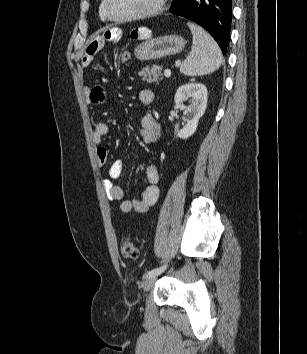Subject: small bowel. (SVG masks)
I'll use <instances>...</instances> for the list:
<instances>
[{
    "mask_svg": "<svg viewBox=\"0 0 307 354\" xmlns=\"http://www.w3.org/2000/svg\"><path fill=\"white\" fill-rule=\"evenodd\" d=\"M122 37V31L119 28L106 30L101 38L92 40L82 56L81 65L89 67L94 61L95 54L103 47L104 42H115ZM85 93L88 101L99 103L104 98V91L100 87L92 88L85 86ZM139 101L142 105L148 106L154 101V93L151 90H143L139 94ZM108 125L99 122L94 126L93 138L96 144L97 159L100 165L107 162V150L103 145V139L108 134ZM140 136L144 145L156 144L160 138V127L154 116L146 112L141 118ZM124 162L121 159L114 160L109 168V178L104 180L103 185L109 200L118 202L119 208L123 213L147 212L158 200L159 189V171L156 165L150 164L146 167L145 177L147 186L143 190L141 197L136 200H126L123 198V190L116 183V180L122 175Z\"/></svg>",
    "mask_w": 307,
    "mask_h": 354,
    "instance_id": "small-bowel-1",
    "label": "small bowel"
}]
</instances>
